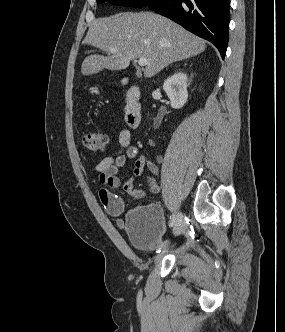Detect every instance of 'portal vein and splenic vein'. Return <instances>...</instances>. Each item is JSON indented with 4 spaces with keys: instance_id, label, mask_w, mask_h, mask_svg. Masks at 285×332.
<instances>
[{
    "instance_id": "portal-vein-and-splenic-vein-1",
    "label": "portal vein and splenic vein",
    "mask_w": 285,
    "mask_h": 332,
    "mask_svg": "<svg viewBox=\"0 0 285 332\" xmlns=\"http://www.w3.org/2000/svg\"><path fill=\"white\" fill-rule=\"evenodd\" d=\"M110 53H116V49L114 48H111L109 50ZM138 64L143 67V66H146L148 64V61L145 59V58H139L138 60Z\"/></svg>"
}]
</instances>
